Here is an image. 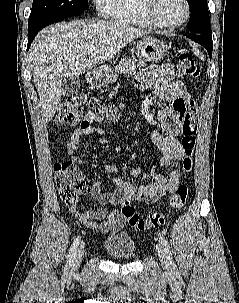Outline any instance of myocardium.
Listing matches in <instances>:
<instances>
[{
	"instance_id": "f54148a6",
	"label": "myocardium",
	"mask_w": 239,
	"mask_h": 303,
	"mask_svg": "<svg viewBox=\"0 0 239 303\" xmlns=\"http://www.w3.org/2000/svg\"><path fill=\"white\" fill-rule=\"evenodd\" d=\"M185 4V16L177 24H166L160 21L156 15V7L158 0H142V9L148 20L157 28L166 29V30H175L182 27L190 18L191 15V6L189 0H183Z\"/></svg>"
}]
</instances>
